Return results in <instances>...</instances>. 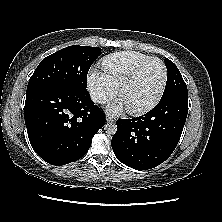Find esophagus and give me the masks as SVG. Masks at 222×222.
<instances>
[{
  "instance_id": "obj_1",
  "label": "esophagus",
  "mask_w": 222,
  "mask_h": 222,
  "mask_svg": "<svg viewBox=\"0 0 222 222\" xmlns=\"http://www.w3.org/2000/svg\"><path fill=\"white\" fill-rule=\"evenodd\" d=\"M106 121H107V122H114V121H115V118H113V117L110 116V115H107V116H106Z\"/></svg>"
}]
</instances>
